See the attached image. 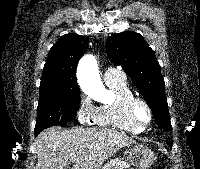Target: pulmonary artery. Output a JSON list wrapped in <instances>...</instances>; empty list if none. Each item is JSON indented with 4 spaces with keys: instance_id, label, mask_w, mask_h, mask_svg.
<instances>
[{
    "instance_id": "1",
    "label": "pulmonary artery",
    "mask_w": 200,
    "mask_h": 169,
    "mask_svg": "<svg viewBox=\"0 0 200 169\" xmlns=\"http://www.w3.org/2000/svg\"><path fill=\"white\" fill-rule=\"evenodd\" d=\"M103 78L106 81H111V80H115V79H120V78H125V76L123 75L122 72L112 69V68H108L105 70L104 74H103Z\"/></svg>"
}]
</instances>
